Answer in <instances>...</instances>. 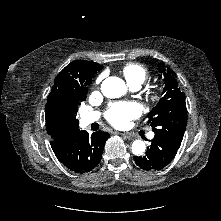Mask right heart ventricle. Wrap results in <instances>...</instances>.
I'll use <instances>...</instances> for the list:
<instances>
[{
  "mask_svg": "<svg viewBox=\"0 0 221 221\" xmlns=\"http://www.w3.org/2000/svg\"><path fill=\"white\" fill-rule=\"evenodd\" d=\"M123 74L129 84H142L148 78V71L139 64H129L123 69Z\"/></svg>",
  "mask_w": 221,
  "mask_h": 221,
  "instance_id": "obj_1",
  "label": "right heart ventricle"
}]
</instances>
